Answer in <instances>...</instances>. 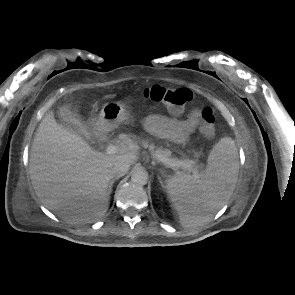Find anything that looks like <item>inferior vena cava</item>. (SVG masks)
<instances>
[{
    "label": "inferior vena cava",
    "instance_id": "inferior-vena-cava-1",
    "mask_svg": "<svg viewBox=\"0 0 295 295\" xmlns=\"http://www.w3.org/2000/svg\"><path fill=\"white\" fill-rule=\"evenodd\" d=\"M130 164L124 161H118L113 165L112 173L116 176H124L129 170Z\"/></svg>",
    "mask_w": 295,
    "mask_h": 295
}]
</instances>
